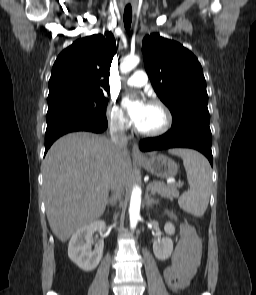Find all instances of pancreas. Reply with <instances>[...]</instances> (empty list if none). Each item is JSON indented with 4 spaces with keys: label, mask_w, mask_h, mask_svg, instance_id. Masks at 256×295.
<instances>
[{
    "label": "pancreas",
    "mask_w": 256,
    "mask_h": 295,
    "mask_svg": "<svg viewBox=\"0 0 256 295\" xmlns=\"http://www.w3.org/2000/svg\"><path fill=\"white\" fill-rule=\"evenodd\" d=\"M147 189L151 190L152 194H158L170 200L179 197V191L174 184L166 185L163 182L153 181L148 185Z\"/></svg>",
    "instance_id": "pancreas-1"
}]
</instances>
